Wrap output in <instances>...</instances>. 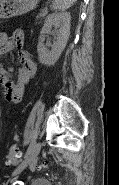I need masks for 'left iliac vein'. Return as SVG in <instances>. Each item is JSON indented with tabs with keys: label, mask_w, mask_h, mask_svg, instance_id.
Listing matches in <instances>:
<instances>
[{
	"label": "left iliac vein",
	"mask_w": 119,
	"mask_h": 185,
	"mask_svg": "<svg viewBox=\"0 0 119 185\" xmlns=\"http://www.w3.org/2000/svg\"><path fill=\"white\" fill-rule=\"evenodd\" d=\"M41 142L36 143L32 150L30 151V153L28 155H26V157L24 158V161L14 170V172L12 173V176H16L17 174H19L25 167H27V165H29L30 163H32L33 161H35V159L37 158L40 150H41Z\"/></svg>",
	"instance_id": "4c4485c4"
}]
</instances>
